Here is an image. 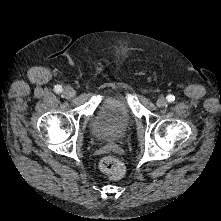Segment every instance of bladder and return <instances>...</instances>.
Returning <instances> with one entry per match:
<instances>
[{
    "mask_svg": "<svg viewBox=\"0 0 221 221\" xmlns=\"http://www.w3.org/2000/svg\"><path fill=\"white\" fill-rule=\"evenodd\" d=\"M132 122L128 108L118 102H107L93 116L90 131L98 140L114 142L127 134Z\"/></svg>",
    "mask_w": 221,
    "mask_h": 221,
    "instance_id": "obj_1",
    "label": "bladder"
}]
</instances>
